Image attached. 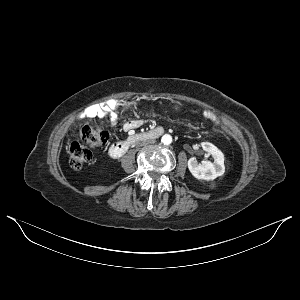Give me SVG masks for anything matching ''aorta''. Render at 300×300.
<instances>
[{
  "label": "aorta",
  "instance_id": "762f6f07",
  "mask_svg": "<svg viewBox=\"0 0 300 300\" xmlns=\"http://www.w3.org/2000/svg\"><path fill=\"white\" fill-rule=\"evenodd\" d=\"M161 142L164 145H170L172 143V136L169 134H164L161 138Z\"/></svg>",
  "mask_w": 300,
  "mask_h": 300
}]
</instances>
